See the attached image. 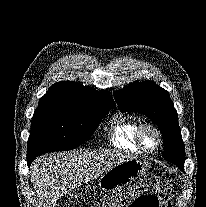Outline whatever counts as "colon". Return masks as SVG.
<instances>
[{
  "label": "colon",
  "mask_w": 206,
  "mask_h": 207,
  "mask_svg": "<svg viewBox=\"0 0 206 207\" xmlns=\"http://www.w3.org/2000/svg\"><path fill=\"white\" fill-rule=\"evenodd\" d=\"M148 186L151 194H140V185L135 184L128 190L110 193L95 207H171L173 183L168 173H157L148 180Z\"/></svg>",
  "instance_id": "5ec220e1"
}]
</instances>
